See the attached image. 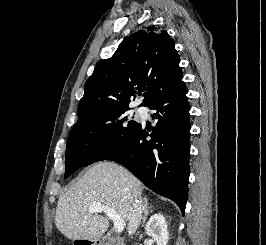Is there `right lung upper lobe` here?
<instances>
[{
  "instance_id": "obj_1",
  "label": "right lung upper lobe",
  "mask_w": 266,
  "mask_h": 245,
  "mask_svg": "<svg viewBox=\"0 0 266 245\" xmlns=\"http://www.w3.org/2000/svg\"><path fill=\"white\" fill-rule=\"evenodd\" d=\"M175 43L165 30L145 28L124 39L114 55L100 61L84 86L79 119L101 111L126 107L146 90L141 106L182 81Z\"/></svg>"
}]
</instances>
